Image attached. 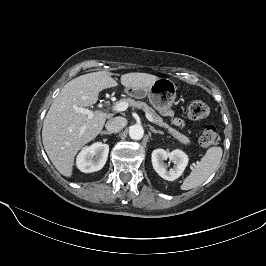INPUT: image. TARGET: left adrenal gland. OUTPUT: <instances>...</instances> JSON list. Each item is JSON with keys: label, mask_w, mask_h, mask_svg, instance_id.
<instances>
[{"label": "left adrenal gland", "mask_w": 266, "mask_h": 266, "mask_svg": "<svg viewBox=\"0 0 266 266\" xmlns=\"http://www.w3.org/2000/svg\"><path fill=\"white\" fill-rule=\"evenodd\" d=\"M150 127V130L154 133V134H163V132L162 131H160V130H156L153 126H149Z\"/></svg>", "instance_id": "a2214340"}]
</instances>
